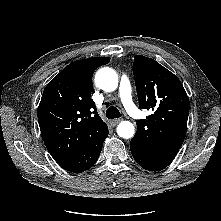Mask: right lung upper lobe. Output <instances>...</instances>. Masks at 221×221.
I'll return each instance as SVG.
<instances>
[{"label": "right lung upper lobe", "instance_id": "1", "mask_svg": "<svg viewBox=\"0 0 221 221\" xmlns=\"http://www.w3.org/2000/svg\"><path fill=\"white\" fill-rule=\"evenodd\" d=\"M109 57H92L66 66L45 87L38 107L42 139L59 165L71 159L107 125L91 99L92 76Z\"/></svg>", "mask_w": 221, "mask_h": 221}]
</instances>
